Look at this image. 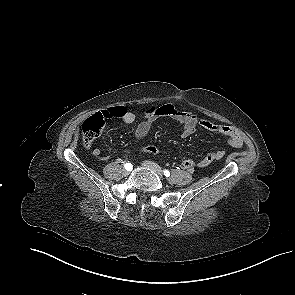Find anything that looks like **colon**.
I'll list each match as a JSON object with an SVG mask.
<instances>
[{
	"label": "colon",
	"instance_id": "1",
	"mask_svg": "<svg viewBox=\"0 0 295 295\" xmlns=\"http://www.w3.org/2000/svg\"><path fill=\"white\" fill-rule=\"evenodd\" d=\"M104 126V118L100 115H94L90 118H88L84 123H83V140L84 143L89 146L94 140L95 138L100 134L102 128ZM145 152L148 154H152V155H158V150L153 147H147L145 149ZM224 156L223 154H220L219 157L222 158Z\"/></svg>",
	"mask_w": 295,
	"mask_h": 295
}]
</instances>
